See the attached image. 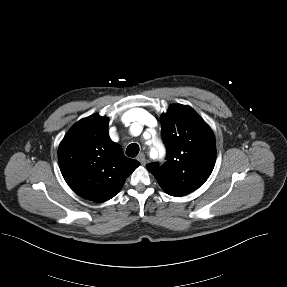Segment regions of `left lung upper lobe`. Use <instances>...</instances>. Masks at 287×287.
Masks as SVG:
<instances>
[{
  "mask_svg": "<svg viewBox=\"0 0 287 287\" xmlns=\"http://www.w3.org/2000/svg\"><path fill=\"white\" fill-rule=\"evenodd\" d=\"M161 127L166 162L150 163L147 169L167 194L185 196L204 184L214 168V134L194 109L181 104L161 116Z\"/></svg>",
  "mask_w": 287,
  "mask_h": 287,
  "instance_id": "5c2ea615",
  "label": "left lung upper lobe"
}]
</instances>
